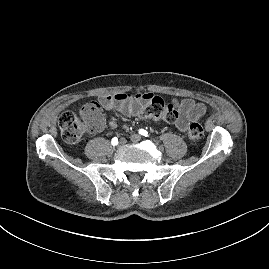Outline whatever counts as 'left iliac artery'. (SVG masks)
<instances>
[{
	"label": "left iliac artery",
	"instance_id": "left-iliac-artery-1",
	"mask_svg": "<svg viewBox=\"0 0 269 269\" xmlns=\"http://www.w3.org/2000/svg\"><path fill=\"white\" fill-rule=\"evenodd\" d=\"M138 132H139L140 135L145 136V137H147L149 135L148 132L146 130H144V129H139Z\"/></svg>",
	"mask_w": 269,
	"mask_h": 269
}]
</instances>
